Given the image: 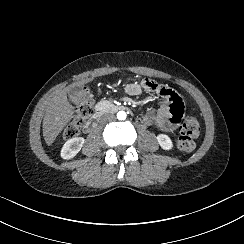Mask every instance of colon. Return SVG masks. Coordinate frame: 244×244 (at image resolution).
<instances>
[{
  "instance_id": "obj_1",
  "label": "colon",
  "mask_w": 244,
  "mask_h": 244,
  "mask_svg": "<svg viewBox=\"0 0 244 244\" xmlns=\"http://www.w3.org/2000/svg\"><path fill=\"white\" fill-rule=\"evenodd\" d=\"M92 100L85 98L77 103V110L73 119L67 124L65 133L75 135L78 133L85 118L91 113ZM200 124L193 116H185L179 127L177 146L183 152H192L195 149V138L199 134Z\"/></svg>"
}]
</instances>
